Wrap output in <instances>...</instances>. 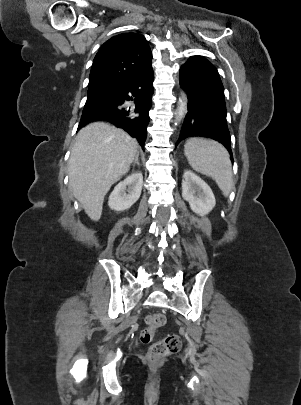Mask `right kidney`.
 <instances>
[{
    "label": "right kidney",
    "mask_w": 301,
    "mask_h": 405,
    "mask_svg": "<svg viewBox=\"0 0 301 405\" xmlns=\"http://www.w3.org/2000/svg\"><path fill=\"white\" fill-rule=\"evenodd\" d=\"M143 186L141 172H135L117 184L109 196L108 205L115 211L129 209L140 197ZM128 192V193H126Z\"/></svg>",
    "instance_id": "ca27d5eb"
}]
</instances>
